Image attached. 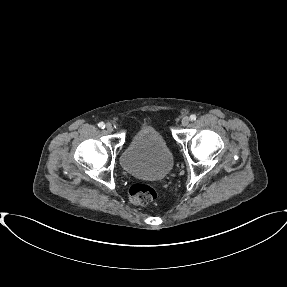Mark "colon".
I'll return each instance as SVG.
<instances>
[{"mask_svg":"<svg viewBox=\"0 0 287 287\" xmlns=\"http://www.w3.org/2000/svg\"><path fill=\"white\" fill-rule=\"evenodd\" d=\"M156 196V191L143 183H136L129 190L130 201L135 205H148L155 201Z\"/></svg>","mask_w":287,"mask_h":287,"instance_id":"colon-1","label":"colon"}]
</instances>
